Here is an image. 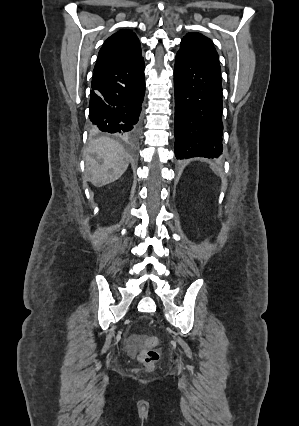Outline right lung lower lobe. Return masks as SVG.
I'll return each instance as SVG.
<instances>
[{"instance_id": "98d812e1", "label": "right lung lower lobe", "mask_w": 299, "mask_h": 426, "mask_svg": "<svg viewBox=\"0 0 299 426\" xmlns=\"http://www.w3.org/2000/svg\"><path fill=\"white\" fill-rule=\"evenodd\" d=\"M89 118L96 129L136 138L145 94L144 59L94 71Z\"/></svg>"}]
</instances>
